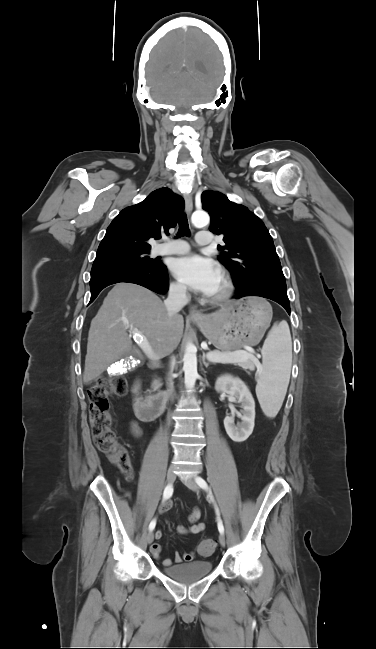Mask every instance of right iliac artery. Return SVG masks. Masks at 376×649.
Segmentation results:
<instances>
[{
  "label": "right iliac artery",
  "mask_w": 376,
  "mask_h": 649,
  "mask_svg": "<svg viewBox=\"0 0 376 649\" xmlns=\"http://www.w3.org/2000/svg\"><path fill=\"white\" fill-rule=\"evenodd\" d=\"M173 494V486L171 484L167 485L163 492V501L169 499ZM156 525V520L153 519L149 524V530H153Z\"/></svg>",
  "instance_id": "right-iliac-artery-1"
}]
</instances>
